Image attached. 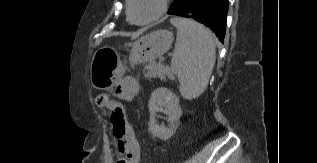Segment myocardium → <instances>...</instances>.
Listing matches in <instances>:
<instances>
[{"mask_svg": "<svg viewBox=\"0 0 317 163\" xmlns=\"http://www.w3.org/2000/svg\"><path fill=\"white\" fill-rule=\"evenodd\" d=\"M168 1L169 0H159V9H158L157 13L147 20L138 21V20H135L132 16L131 9H132L133 0H127L128 19L130 20V22H132L136 25H140V26L152 24V23L156 22L157 20H159L166 13V11L168 9Z\"/></svg>", "mask_w": 317, "mask_h": 163, "instance_id": "obj_1", "label": "myocardium"}]
</instances>
